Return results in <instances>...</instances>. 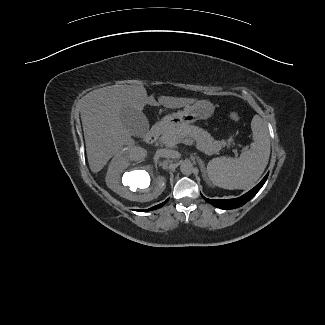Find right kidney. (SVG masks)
<instances>
[{
	"mask_svg": "<svg viewBox=\"0 0 325 325\" xmlns=\"http://www.w3.org/2000/svg\"><path fill=\"white\" fill-rule=\"evenodd\" d=\"M106 184L123 198L147 202L157 198L164 191L166 181L157 175L150 165L143 163V158L133 155L125 148L112 159L106 175Z\"/></svg>",
	"mask_w": 325,
	"mask_h": 325,
	"instance_id": "right-kidney-1",
	"label": "right kidney"
}]
</instances>
